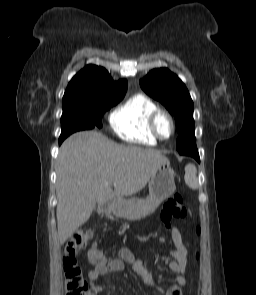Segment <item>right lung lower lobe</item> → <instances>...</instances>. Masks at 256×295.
I'll return each mask as SVG.
<instances>
[{
    "label": "right lung lower lobe",
    "mask_w": 256,
    "mask_h": 295,
    "mask_svg": "<svg viewBox=\"0 0 256 295\" xmlns=\"http://www.w3.org/2000/svg\"><path fill=\"white\" fill-rule=\"evenodd\" d=\"M86 123H87V125H89V124H90V120L87 119ZM63 140H64V139L59 138V144H61Z\"/></svg>",
    "instance_id": "1"
}]
</instances>
